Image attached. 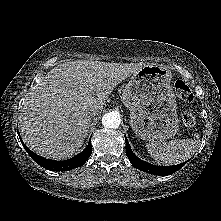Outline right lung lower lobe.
<instances>
[{
    "instance_id": "obj_1",
    "label": "right lung lower lobe",
    "mask_w": 221,
    "mask_h": 221,
    "mask_svg": "<svg viewBox=\"0 0 221 221\" xmlns=\"http://www.w3.org/2000/svg\"><path fill=\"white\" fill-rule=\"evenodd\" d=\"M19 138H20L22 145L24 146L27 153L29 154V156L39 165L51 171H67V170L79 167L88 160V158L90 157L92 153L91 140H89L87 147L75 157L69 160H65V161H54V160L46 159L39 155H36L22 142L20 136Z\"/></svg>"
}]
</instances>
